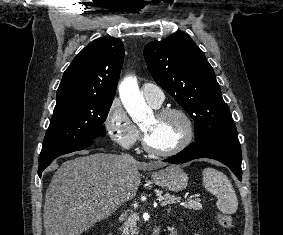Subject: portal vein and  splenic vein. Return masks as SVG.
I'll return each mask as SVG.
<instances>
[{"label":"portal vein and splenic vein","mask_w":283,"mask_h":235,"mask_svg":"<svg viewBox=\"0 0 283 235\" xmlns=\"http://www.w3.org/2000/svg\"><path fill=\"white\" fill-rule=\"evenodd\" d=\"M173 201H180V197H176V198H173ZM169 202H167V201H163L162 203H161V206H165V205H167Z\"/></svg>","instance_id":"portal-vein-and-splenic-vein-1"}]
</instances>
